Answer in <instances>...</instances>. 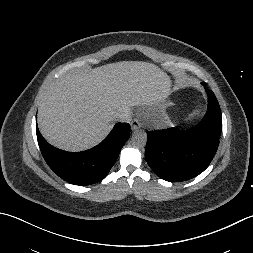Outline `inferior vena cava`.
<instances>
[{"label":"inferior vena cava","instance_id":"602c4592","mask_svg":"<svg viewBox=\"0 0 253 253\" xmlns=\"http://www.w3.org/2000/svg\"><path fill=\"white\" fill-rule=\"evenodd\" d=\"M116 119L120 122H130L132 119L131 111L125 110L115 115Z\"/></svg>","mask_w":253,"mask_h":253}]
</instances>
